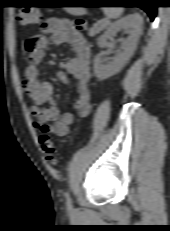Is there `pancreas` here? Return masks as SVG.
I'll list each match as a JSON object with an SVG mask.
<instances>
[{"mask_svg": "<svg viewBox=\"0 0 170 231\" xmlns=\"http://www.w3.org/2000/svg\"><path fill=\"white\" fill-rule=\"evenodd\" d=\"M108 24L109 22L107 20L98 21L97 23L94 24L92 28L89 29V35L90 36L96 35L100 31H102Z\"/></svg>", "mask_w": 170, "mask_h": 231, "instance_id": "obj_1", "label": "pancreas"}]
</instances>
